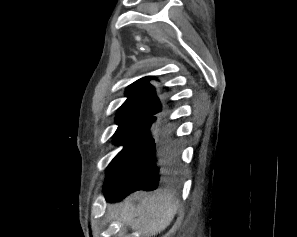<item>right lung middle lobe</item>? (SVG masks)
Listing matches in <instances>:
<instances>
[{
	"mask_svg": "<svg viewBox=\"0 0 297 237\" xmlns=\"http://www.w3.org/2000/svg\"><path fill=\"white\" fill-rule=\"evenodd\" d=\"M153 124L154 121L148 119L118 124L113 142L116 145H123V150L109 164L104 188H116L119 185L128 158Z\"/></svg>",
	"mask_w": 297,
	"mask_h": 237,
	"instance_id": "dd1d6c3e",
	"label": "right lung middle lobe"
}]
</instances>
